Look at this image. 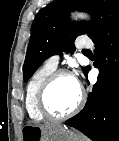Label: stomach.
<instances>
[{
	"mask_svg": "<svg viewBox=\"0 0 119 141\" xmlns=\"http://www.w3.org/2000/svg\"><path fill=\"white\" fill-rule=\"evenodd\" d=\"M21 141H84L83 137L63 127H42L25 125L21 132Z\"/></svg>",
	"mask_w": 119,
	"mask_h": 141,
	"instance_id": "obj_1",
	"label": "stomach"
}]
</instances>
